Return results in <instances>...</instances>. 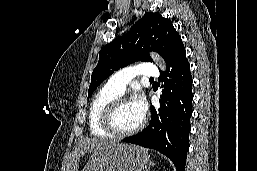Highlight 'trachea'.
I'll return each mask as SVG.
<instances>
[{
  "label": "trachea",
  "mask_w": 257,
  "mask_h": 171,
  "mask_svg": "<svg viewBox=\"0 0 257 171\" xmlns=\"http://www.w3.org/2000/svg\"><path fill=\"white\" fill-rule=\"evenodd\" d=\"M154 79L153 78H150V81H153Z\"/></svg>",
  "instance_id": "obj_1"
}]
</instances>
